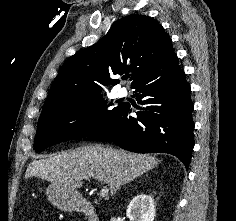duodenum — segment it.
<instances>
[{
	"label": "duodenum",
	"mask_w": 236,
	"mask_h": 221,
	"mask_svg": "<svg viewBox=\"0 0 236 221\" xmlns=\"http://www.w3.org/2000/svg\"><path fill=\"white\" fill-rule=\"evenodd\" d=\"M78 211L85 214L88 221H99V216L94 204L91 201L84 200L79 203Z\"/></svg>",
	"instance_id": "1"
}]
</instances>
